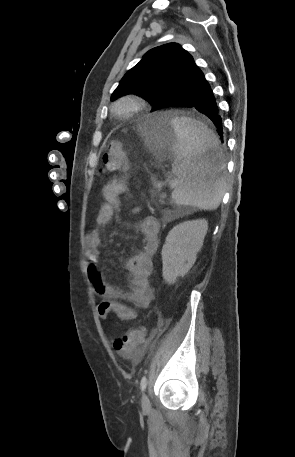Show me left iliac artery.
Returning <instances> with one entry per match:
<instances>
[{
	"mask_svg": "<svg viewBox=\"0 0 295 457\" xmlns=\"http://www.w3.org/2000/svg\"><path fill=\"white\" fill-rule=\"evenodd\" d=\"M141 391H144L147 387V378L143 376L140 382Z\"/></svg>",
	"mask_w": 295,
	"mask_h": 457,
	"instance_id": "44dca946",
	"label": "left iliac artery"
}]
</instances>
